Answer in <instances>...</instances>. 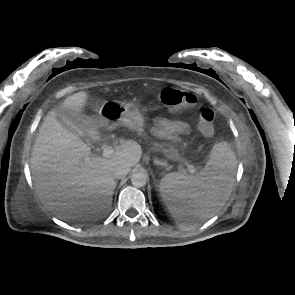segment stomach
<instances>
[{"instance_id": "obj_1", "label": "stomach", "mask_w": 295, "mask_h": 295, "mask_svg": "<svg viewBox=\"0 0 295 295\" xmlns=\"http://www.w3.org/2000/svg\"><path fill=\"white\" fill-rule=\"evenodd\" d=\"M95 123L109 129L123 125L139 135L145 134V118L140 110L130 103L105 101L99 109ZM165 152L172 159L179 157L178 151L174 148Z\"/></svg>"}]
</instances>
